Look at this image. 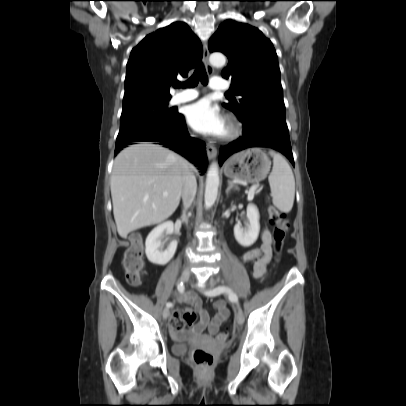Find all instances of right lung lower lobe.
<instances>
[{"label":"right lung lower lobe","mask_w":406,"mask_h":406,"mask_svg":"<svg viewBox=\"0 0 406 406\" xmlns=\"http://www.w3.org/2000/svg\"><path fill=\"white\" fill-rule=\"evenodd\" d=\"M134 142H156L196 164L200 167L201 172H204L207 167L205 144L189 136L182 114H178L177 118L165 127L117 137L115 154Z\"/></svg>","instance_id":"right-lung-lower-lobe-1"}]
</instances>
